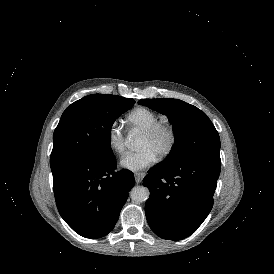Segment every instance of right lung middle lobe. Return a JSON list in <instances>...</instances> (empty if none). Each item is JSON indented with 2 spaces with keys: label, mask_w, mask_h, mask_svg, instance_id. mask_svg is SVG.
<instances>
[{
  "label": "right lung middle lobe",
  "mask_w": 274,
  "mask_h": 274,
  "mask_svg": "<svg viewBox=\"0 0 274 274\" xmlns=\"http://www.w3.org/2000/svg\"><path fill=\"white\" fill-rule=\"evenodd\" d=\"M135 101L117 95L92 94L66 108L53 134L50 165L74 160H101L113 156L111 127Z\"/></svg>",
  "instance_id": "right-lung-middle-lobe-1"
}]
</instances>
